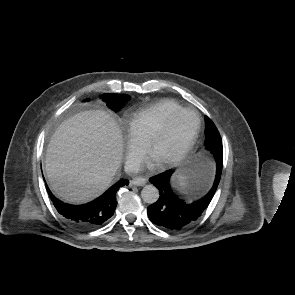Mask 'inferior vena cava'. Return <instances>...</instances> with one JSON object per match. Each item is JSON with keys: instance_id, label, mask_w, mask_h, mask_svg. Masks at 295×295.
I'll list each match as a JSON object with an SVG mask.
<instances>
[{"instance_id": "obj_1", "label": "inferior vena cava", "mask_w": 295, "mask_h": 295, "mask_svg": "<svg viewBox=\"0 0 295 295\" xmlns=\"http://www.w3.org/2000/svg\"><path fill=\"white\" fill-rule=\"evenodd\" d=\"M141 169V164L140 162L137 161H127L125 165V171L126 172H133V173H138Z\"/></svg>"}]
</instances>
